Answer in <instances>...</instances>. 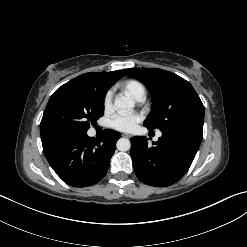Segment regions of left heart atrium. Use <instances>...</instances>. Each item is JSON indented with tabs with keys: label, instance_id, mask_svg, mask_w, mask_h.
<instances>
[{
	"label": "left heart atrium",
	"instance_id": "left-heart-atrium-1",
	"mask_svg": "<svg viewBox=\"0 0 247 247\" xmlns=\"http://www.w3.org/2000/svg\"><path fill=\"white\" fill-rule=\"evenodd\" d=\"M141 117L136 113H118L114 115L111 125L120 131H132Z\"/></svg>",
	"mask_w": 247,
	"mask_h": 247
}]
</instances>
